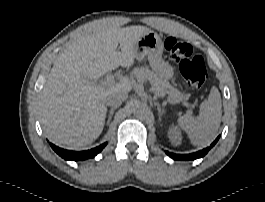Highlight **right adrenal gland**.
I'll return each instance as SVG.
<instances>
[{"instance_id":"2a0ac1e0","label":"right adrenal gland","mask_w":265,"mask_h":202,"mask_svg":"<svg viewBox=\"0 0 265 202\" xmlns=\"http://www.w3.org/2000/svg\"><path fill=\"white\" fill-rule=\"evenodd\" d=\"M117 109V107H113L108 111V115H107V124L110 123L112 116L114 114V111Z\"/></svg>"}]
</instances>
